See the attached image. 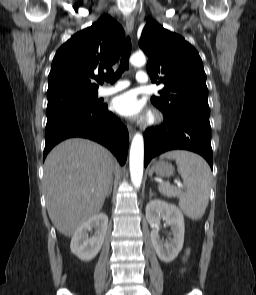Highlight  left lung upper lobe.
<instances>
[{
  "label": "left lung upper lobe",
  "instance_id": "1",
  "mask_svg": "<svg viewBox=\"0 0 256 295\" xmlns=\"http://www.w3.org/2000/svg\"><path fill=\"white\" fill-rule=\"evenodd\" d=\"M139 45L148 56L152 81L165 85L151 98L164 117L183 111L209 116L206 74L197 50L153 20L143 28Z\"/></svg>",
  "mask_w": 256,
  "mask_h": 295
}]
</instances>
